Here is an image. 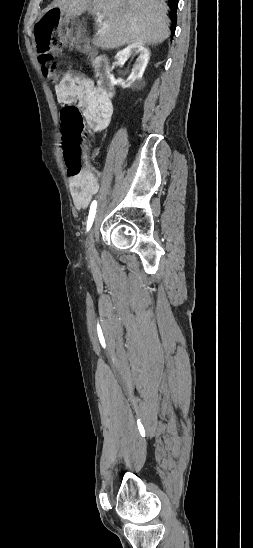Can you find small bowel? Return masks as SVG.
Segmentation results:
<instances>
[{
	"instance_id": "c3829d8e",
	"label": "small bowel",
	"mask_w": 253,
	"mask_h": 548,
	"mask_svg": "<svg viewBox=\"0 0 253 548\" xmlns=\"http://www.w3.org/2000/svg\"><path fill=\"white\" fill-rule=\"evenodd\" d=\"M55 94L62 105L77 104L91 132H101L108 126L113 113L111 100L85 74L67 72L61 83L55 86ZM69 188L73 204L78 210L87 208L98 193L100 179L88 159L78 176L69 177Z\"/></svg>"
}]
</instances>
